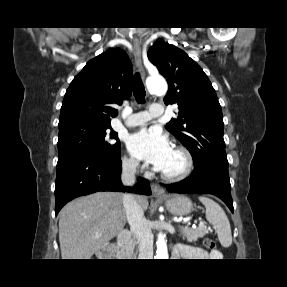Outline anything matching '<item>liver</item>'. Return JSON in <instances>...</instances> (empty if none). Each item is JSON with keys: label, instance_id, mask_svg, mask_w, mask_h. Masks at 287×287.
<instances>
[{"label": "liver", "instance_id": "liver-1", "mask_svg": "<svg viewBox=\"0 0 287 287\" xmlns=\"http://www.w3.org/2000/svg\"><path fill=\"white\" fill-rule=\"evenodd\" d=\"M123 195L97 192L68 203L59 214L62 259H90L124 228L127 216ZM143 210L148 200L137 196Z\"/></svg>", "mask_w": 287, "mask_h": 287}]
</instances>
